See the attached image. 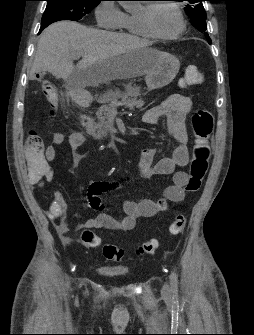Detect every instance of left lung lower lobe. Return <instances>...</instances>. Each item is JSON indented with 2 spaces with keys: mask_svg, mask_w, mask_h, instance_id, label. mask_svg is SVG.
I'll return each mask as SVG.
<instances>
[{
  "mask_svg": "<svg viewBox=\"0 0 254 335\" xmlns=\"http://www.w3.org/2000/svg\"><path fill=\"white\" fill-rule=\"evenodd\" d=\"M208 42H209V44H211V40H209Z\"/></svg>",
  "mask_w": 254,
  "mask_h": 335,
  "instance_id": "1",
  "label": "left lung lower lobe"
}]
</instances>
